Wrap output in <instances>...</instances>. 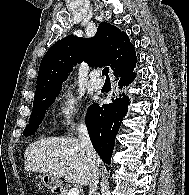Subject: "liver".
Returning <instances> with one entry per match:
<instances>
[{
    "mask_svg": "<svg viewBox=\"0 0 189 195\" xmlns=\"http://www.w3.org/2000/svg\"><path fill=\"white\" fill-rule=\"evenodd\" d=\"M98 167V155L93 159ZM24 168L28 172L48 173L68 182L87 186L92 179V164L87 150L77 138L45 137L25 151Z\"/></svg>",
    "mask_w": 189,
    "mask_h": 195,
    "instance_id": "liver-1",
    "label": "liver"
}]
</instances>
